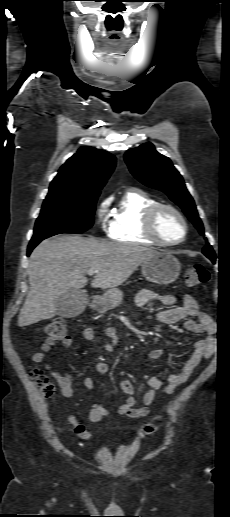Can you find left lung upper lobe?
Wrapping results in <instances>:
<instances>
[{
	"instance_id": "5c2ea615",
	"label": "left lung upper lobe",
	"mask_w": 230,
	"mask_h": 517,
	"mask_svg": "<svg viewBox=\"0 0 230 517\" xmlns=\"http://www.w3.org/2000/svg\"><path fill=\"white\" fill-rule=\"evenodd\" d=\"M124 158L135 178L150 188L166 193L183 209L200 234L204 235L194 200L186 189L182 176L168 157L158 153L153 144L145 143L127 151ZM203 254L215 262V253L209 244L203 248Z\"/></svg>"
}]
</instances>
